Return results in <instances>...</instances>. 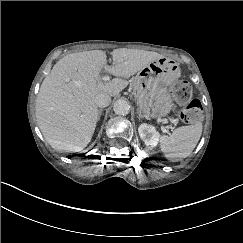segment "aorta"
Segmentation results:
<instances>
[{
    "label": "aorta",
    "mask_w": 243,
    "mask_h": 243,
    "mask_svg": "<svg viewBox=\"0 0 243 243\" xmlns=\"http://www.w3.org/2000/svg\"><path fill=\"white\" fill-rule=\"evenodd\" d=\"M130 105L128 102L124 100H119L115 102L114 104V111L116 112L117 115L119 116H126L130 112Z\"/></svg>",
    "instance_id": "obj_1"
}]
</instances>
